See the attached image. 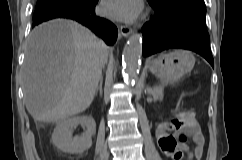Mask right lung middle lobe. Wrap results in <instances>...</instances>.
Listing matches in <instances>:
<instances>
[{
    "instance_id": "right-lung-middle-lobe-1",
    "label": "right lung middle lobe",
    "mask_w": 242,
    "mask_h": 160,
    "mask_svg": "<svg viewBox=\"0 0 242 160\" xmlns=\"http://www.w3.org/2000/svg\"><path fill=\"white\" fill-rule=\"evenodd\" d=\"M54 1H63V2H70V3H81V2H85L87 0H37V4L36 7L48 4L50 2H54Z\"/></svg>"
}]
</instances>
